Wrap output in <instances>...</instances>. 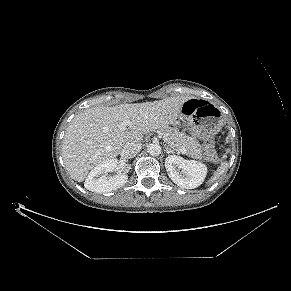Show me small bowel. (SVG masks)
<instances>
[{"instance_id": "small-bowel-1", "label": "small bowel", "mask_w": 291, "mask_h": 291, "mask_svg": "<svg viewBox=\"0 0 291 291\" xmlns=\"http://www.w3.org/2000/svg\"><path fill=\"white\" fill-rule=\"evenodd\" d=\"M198 101L196 99H187L182 104V111L186 114L192 113L197 108Z\"/></svg>"}]
</instances>
